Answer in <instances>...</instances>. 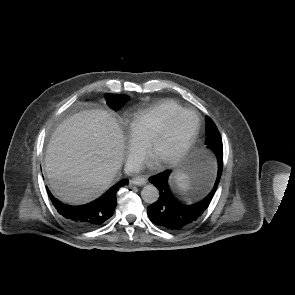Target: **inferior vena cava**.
<instances>
[{
	"label": "inferior vena cava",
	"instance_id": "inferior-vena-cava-1",
	"mask_svg": "<svg viewBox=\"0 0 295 295\" xmlns=\"http://www.w3.org/2000/svg\"><path fill=\"white\" fill-rule=\"evenodd\" d=\"M141 170V163L134 160H128L125 165V173H138Z\"/></svg>",
	"mask_w": 295,
	"mask_h": 295
}]
</instances>
